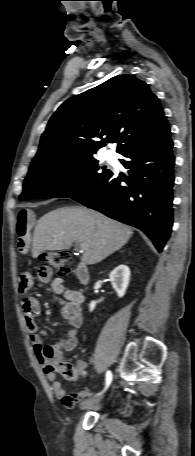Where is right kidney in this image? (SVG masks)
<instances>
[{
    "instance_id": "right-kidney-1",
    "label": "right kidney",
    "mask_w": 195,
    "mask_h": 456,
    "mask_svg": "<svg viewBox=\"0 0 195 456\" xmlns=\"http://www.w3.org/2000/svg\"><path fill=\"white\" fill-rule=\"evenodd\" d=\"M112 287L116 291L119 298L123 297L130 280V269L126 265H119L109 275ZM96 306V301H91L89 308L93 311Z\"/></svg>"
}]
</instances>
